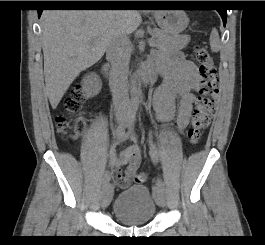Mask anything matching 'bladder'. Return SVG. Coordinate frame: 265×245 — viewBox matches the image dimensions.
<instances>
[{
	"mask_svg": "<svg viewBox=\"0 0 265 245\" xmlns=\"http://www.w3.org/2000/svg\"><path fill=\"white\" fill-rule=\"evenodd\" d=\"M156 201L147 186L131 184L116 197L113 215L127 226L148 224L156 213Z\"/></svg>",
	"mask_w": 265,
	"mask_h": 245,
	"instance_id": "31cf9c89",
	"label": "bladder"
}]
</instances>
